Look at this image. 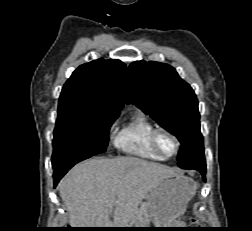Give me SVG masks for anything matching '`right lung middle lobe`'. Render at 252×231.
Masks as SVG:
<instances>
[{"label":"right lung middle lobe","mask_w":252,"mask_h":231,"mask_svg":"<svg viewBox=\"0 0 252 231\" xmlns=\"http://www.w3.org/2000/svg\"><path fill=\"white\" fill-rule=\"evenodd\" d=\"M119 113L80 107L58 108L52 165L106 151L108 132Z\"/></svg>","instance_id":"dd1d6c3e"}]
</instances>
